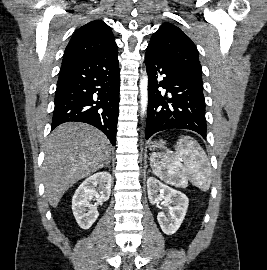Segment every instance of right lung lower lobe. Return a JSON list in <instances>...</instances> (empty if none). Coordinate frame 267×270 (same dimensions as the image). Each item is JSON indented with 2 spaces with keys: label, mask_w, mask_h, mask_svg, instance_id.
<instances>
[{
  "label": "right lung lower lobe",
  "mask_w": 267,
  "mask_h": 270,
  "mask_svg": "<svg viewBox=\"0 0 267 270\" xmlns=\"http://www.w3.org/2000/svg\"><path fill=\"white\" fill-rule=\"evenodd\" d=\"M117 48L61 66L52 130L69 122L91 124L115 145L119 110Z\"/></svg>",
  "instance_id": "98d812e1"
}]
</instances>
